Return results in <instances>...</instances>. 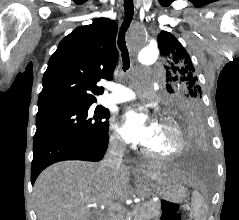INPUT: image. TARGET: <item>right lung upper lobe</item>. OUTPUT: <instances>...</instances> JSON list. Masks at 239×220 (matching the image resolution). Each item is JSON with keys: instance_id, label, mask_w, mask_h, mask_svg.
I'll return each mask as SVG.
<instances>
[{"instance_id": "cb5924a9", "label": "right lung upper lobe", "mask_w": 239, "mask_h": 220, "mask_svg": "<svg viewBox=\"0 0 239 220\" xmlns=\"http://www.w3.org/2000/svg\"><path fill=\"white\" fill-rule=\"evenodd\" d=\"M117 29L115 21L95 18L92 24L76 28L60 42L43 76L39 110L97 101L95 96L104 92L97 82L112 79L118 60Z\"/></svg>"}]
</instances>
